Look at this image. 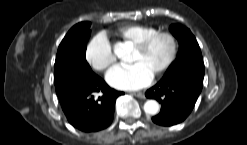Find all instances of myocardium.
I'll use <instances>...</instances> for the list:
<instances>
[{
    "mask_svg": "<svg viewBox=\"0 0 247 145\" xmlns=\"http://www.w3.org/2000/svg\"><path fill=\"white\" fill-rule=\"evenodd\" d=\"M160 37L167 38L170 42L171 48L168 58L164 64L153 74V78L162 76L174 63L178 53V41L176 36L170 31H156L134 46L137 51L141 53L145 52L151 46V44Z\"/></svg>",
    "mask_w": 247,
    "mask_h": 145,
    "instance_id": "myocardium-1",
    "label": "myocardium"
}]
</instances>
